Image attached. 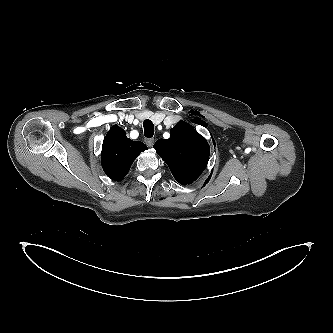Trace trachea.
I'll use <instances>...</instances> for the list:
<instances>
[{"mask_svg":"<svg viewBox=\"0 0 333 333\" xmlns=\"http://www.w3.org/2000/svg\"><path fill=\"white\" fill-rule=\"evenodd\" d=\"M143 127H144V135H145V137H147V138L153 137V134H154V125H153L152 121L149 120V119H146L143 122Z\"/></svg>","mask_w":333,"mask_h":333,"instance_id":"3493384b","label":"trachea"}]
</instances>
